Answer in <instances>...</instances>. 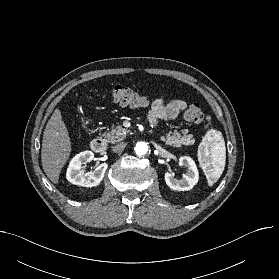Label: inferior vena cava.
<instances>
[{
  "label": "inferior vena cava",
  "mask_w": 279,
  "mask_h": 279,
  "mask_svg": "<svg viewBox=\"0 0 279 279\" xmlns=\"http://www.w3.org/2000/svg\"><path fill=\"white\" fill-rule=\"evenodd\" d=\"M125 146H126L125 143H119L113 146L112 151L115 153H121L124 150Z\"/></svg>",
  "instance_id": "602c4592"
}]
</instances>
